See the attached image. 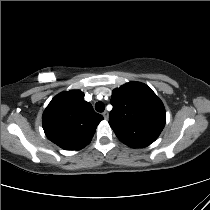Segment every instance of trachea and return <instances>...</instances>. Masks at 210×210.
I'll return each mask as SVG.
<instances>
[{
  "mask_svg": "<svg viewBox=\"0 0 210 210\" xmlns=\"http://www.w3.org/2000/svg\"><path fill=\"white\" fill-rule=\"evenodd\" d=\"M95 109L97 112H103L105 110V105L103 102H97L95 104Z\"/></svg>",
  "mask_w": 210,
  "mask_h": 210,
  "instance_id": "3493384b",
  "label": "trachea"
}]
</instances>
